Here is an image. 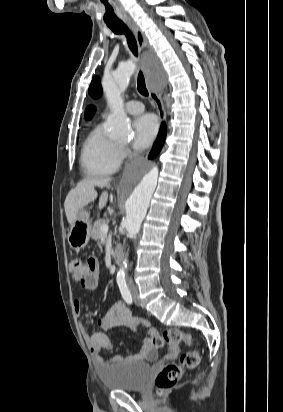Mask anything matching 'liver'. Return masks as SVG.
Here are the masks:
<instances>
[{"label":"liver","mask_w":283,"mask_h":412,"mask_svg":"<svg viewBox=\"0 0 283 412\" xmlns=\"http://www.w3.org/2000/svg\"><path fill=\"white\" fill-rule=\"evenodd\" d=\"M111 179L104 178H87L77 184V186L70 190L66 196L64 207L67 220L72 226L77 215L83 207L94 201L98 194L95 187L103 188L110 183ZM108 200V194L105 192L100 199V208L102 209Z\"/></svg>","instance_id":"6515ba94"}]
</instances>
